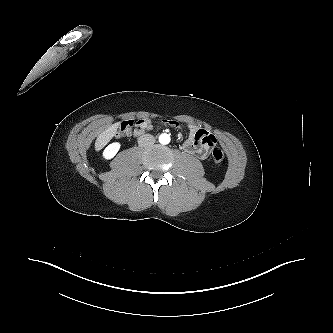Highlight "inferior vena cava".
<instances>
[{
	"label": "inferior vena cava",
	"mask_w": 333,
	"mask_h": 333,
	"mask_svg": "<svg viewBox=\"0 0 333 333\" xmlns=\"http://www.w3.org/2000/svg\"><path fill=\"white\" fill-rule=\"evenodd\" d=\"M155 143V138L153 135L145 134L138 138V144L141 147H148Z\"/></svg>",
	"instance_id": "obj_1"
}]
</instances>
